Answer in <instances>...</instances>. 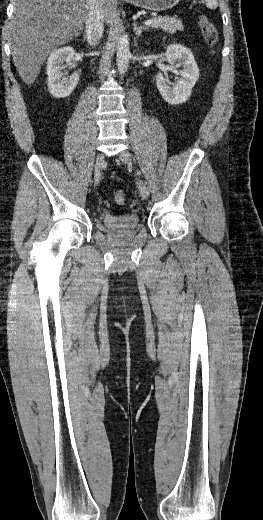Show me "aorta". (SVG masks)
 Segmentation results:
<instances>
[{"mask_svg": "<svg viewBox=\"0 0 263 520\" xmlns=\"http://www.w3.org/2000/svg\"><path fill=\"white\" fill-rule=\"evenodd\" d=\"M131 57L129 41L125 36H121L118 39L117 44V68L120 74H125L128 69L129 60Z\"/></svg>", "mask_w": 263, "mask_h": 520, "instance_id": "762f6f07", "label": "aorta"}]
</instances>
